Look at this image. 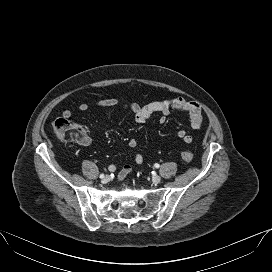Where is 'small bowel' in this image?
I'll list each match as a JSON object with an SVG mask.
<instances>
[{
    "instance_id": "c3829d8e",
    "label": "small bowel",
    "mask_w": 272,
    "mask_h": 272,
    "mask_svg": "<svg viewBox=\"0 0 272 272\" xmlns=\"http://www.w3.org/2000/svg\"><path fill=\"white\" fill-rule=\"evenodd\" d=\"M95 105L97 107L102 108H114L119 107V101L115 98H104L96 101ZM88 108L89 104L86 102H81L78 105V109L80 111H86ZM120 108L131 112L137 123L146 122L150 118V116H152L154 113H160L161 116L159 121L160 123H164L172 110H179L188 113L190 125L194 130L201 129L203 125V116L200 105L197 102L187 100L182 97H176L160 101H152L145 105L129 103L121 105ZM62 116L65 118H70L72 116V111L64 110L62 112ZM177 135L181 140H183L187 144L193 141V137L183 129L179 130ZM129 147L132 149H136L138 147V142L135 139H131L129 141ZM133 159L135 164L142 165L143 156L141 155V153L135 152L133 155ZM109 169L111 171H115L116 166L112 164L110 165ZM132 171L133 168L131 165H124L118 173V179L119 180L125 179L129 174L132 173Z\"/></svg>"
}]
</instances>
